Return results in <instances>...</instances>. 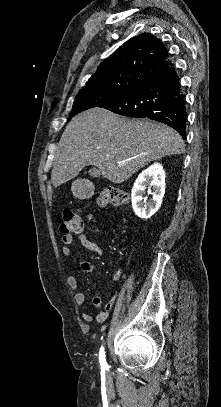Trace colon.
Listing matches in <instances>:
<instances>
[{"label": "colon", "mask_w": 221, "mask_h": 407, "mask_svg": "<svg viewBox=\"0 0 221 407\" xmlns=\"http://www.w3.org/2000/svg\"><path fill=\"white\" fill-rule=\"evenodd\" d=\"M98 200L101 206H105L107 203L114 206H123L129 202V196L122 189L109 186L100 193ZM83 229L84 221L79 214L70 210L64 212L63 220L60 224V232L62 234L71 236L82 232Z\"/></svg>", "instance_id": "colon-1"}]
</instances>
